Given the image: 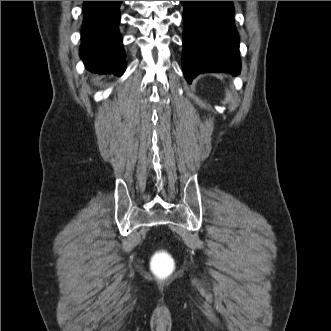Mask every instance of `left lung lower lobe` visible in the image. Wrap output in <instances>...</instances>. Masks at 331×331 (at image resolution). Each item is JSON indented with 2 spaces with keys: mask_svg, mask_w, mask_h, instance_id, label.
<instances>
[{
  "mask_svg": "<svg viewBox=\"0 0 331 331\" xmlns=\"http://www.w3.org/2000/svg\"><path fill=\"white\" fill-rule=\"evenodd\" d=\"M184 6L182 65L186 80L205 72L239 74L238 35L232 1H181Z\"/></svg>",
  "mask_w": 331,
  "mask_h": 331,
  "instance_id": "left-lung-lower-lobe-1",
  "label": "left lung lower lobe"
}]
</instances>
